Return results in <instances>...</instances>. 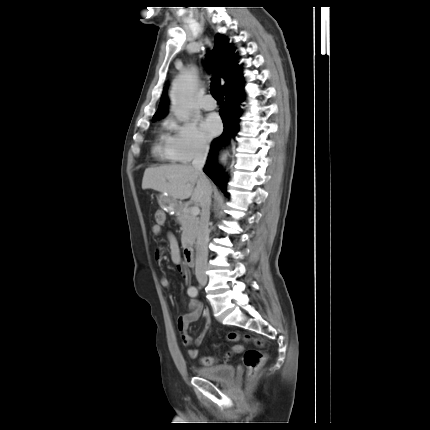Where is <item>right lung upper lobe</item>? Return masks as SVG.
<instances>
[{
	"instance_id": "obj_1",
	"label": "right lung upper lobe",
	"mask_w": 430,
	"mask_h": 430,
	"mask_svg": "<svg viewBox=\"0 0 430 430\" xmlns=\"http://www.w3.org/2000/svg\"><path fill=\"white\" fill-rule=\"evenodd\" d=\"M213 53L218 65V73L225 81L223 91L225 92L227 89L233 88L242 83L243 76L241 73V67L238 65L237 55L234 54V50L231 48V45L223 36H216ZM167 104L168 99L165 89L161 97L159 108L153 119H160L166 114Z\"/></svg>"
}]
</instances>
